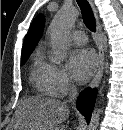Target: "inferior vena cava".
I'll list each match as a JSON object with an SVG mask.
<instances>
[{
  "label": "inferior vena cava",
  "mask_w": 123,
  "mask_h": 130,
  "mask_svg": "<svg viewBox=\"0 0 123 130\" xmlns=\"http://www.w3.org/2000/svg\"><path fill=\"white\" fill-rule=\"evenodd\" d=\"M78 92L75 86H72L70 89V96L68 102H73L77 98Z\"/></svg>",
  "instance_id": "1"
}]
</instances>
